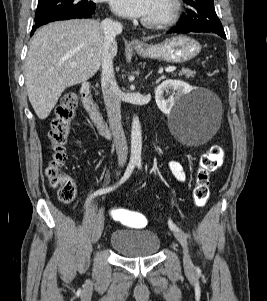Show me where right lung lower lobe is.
Instances as JSON below:
<instances>
[{"label": "right lung lower lobe", "mask_w": 267, "mask_h": 301, "mask_svg": "<svg viewBox=\"0 0 267 301\" xmlns=\"http://www.w3.org/2000/svg\"><path fill=\"white\" fill-rule=\"evenodd\" d=\"M95 12L94 10L85 11L81 13H72V12H56L45 17H42L38 20H35V25L33 26V31L31 35L34 33L37 27L47 24L49 22L58 21V20H68V19H75V18H91L92 14Z\"/></svg>", "instance_id": "98d812e1"}]
</instances>
